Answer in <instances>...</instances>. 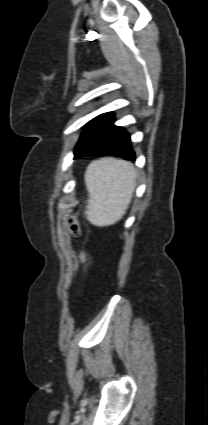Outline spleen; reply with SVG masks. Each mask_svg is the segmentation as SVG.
<instances>
[{
    "label": "spleen",
    "instance_id": "obj_1",
    "mask_svg": "<svg viewBox=\"0 0 208 425\" xmlns=\"http://www.w3.org/2000/svg\"><path fill=\"white\" fill-rule=\"evenodd\" d=\"M136 178L137 172L129 162L111 157L92 161L84 175L89 192L87 219L96 226L119 221L131 202Z\"/></svg>",
    "mask_w": 208,
    "mask_h": 425
}]
</instances>
